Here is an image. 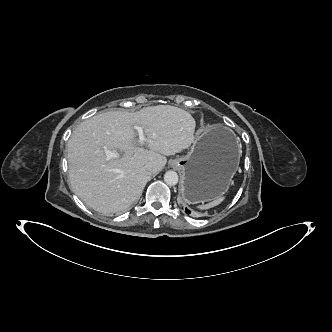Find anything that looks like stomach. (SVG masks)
<instances>
[{"label":"stomach","mask_w":332,"mask_h":332,"mask_svg":"<svg viewBox=\"0 0 332 332\" xmlns=\"http://www.w3.org/2000/svg\"><path fill=\"white\" fill-rule=\"evenodd\" d=\"M241 153L238 138L228 128H216L200 135L187 155L170 161L182 172L183 199L197 204L222 197L237 171Z\"/></svg>","instance_id":"0dacf381"}]
</instances>
